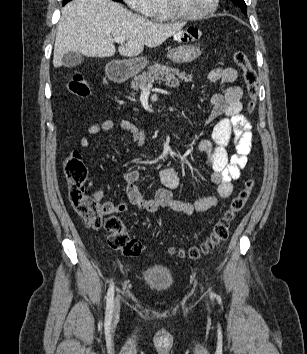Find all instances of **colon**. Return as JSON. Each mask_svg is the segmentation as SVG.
I'll list each match as a JSON object with an SVG mask.
<instances>
[{
  "mask_svg": "<svg viewBox=\"0 0 307 354\" xmlns=\"http://www.w3.org/2000/svg\"><path fill=\"white\" fill-rule=\"evenodd\" d=\"M233 59L242 71L249 100L248 109L251 112L255 108L258 95L257 73L243 51H234ZM67 88L79 98H86L90 94L88 80L82 73L73 74L67 83ZM64 172L68 180L69 202L85 224L91 228L103 227L108 232L107 242L111 248L121 251L126 256H139L143 252V246L140 241L128 235L123 220L115 215L104 218L108 214L104 204H101L86 192L85 183L88 173L78 151L71 152L65 159ZM253 186L254 180L251 178L244 182L243 187L232 199L229 207L216 221L210 234L200 246H193L186 250L172 248L170 253H177L180 257L197 259L224 242L228 238L234 216L244 208Z\"/></svg>",
  "mask_w": 307,
  "mask_h": 354,
  "instance_id": "1",
  "label": "colon"
}]
</instances>
